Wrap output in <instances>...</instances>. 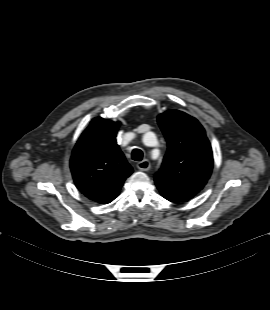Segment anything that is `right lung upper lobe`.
Masks as SVG:
<instances>
[{"mask_svg": "<svg viewBox=\"0 0 270 310\" xmlns=\"http://www.w3.org/2000/svg\"><path fill=\"white\" fill-rule=\"evenodd\" d=\"M118 122L95 118L77 141L70 160L76 187L89 199L110 203L133 172L116 143Z\"/></svg>", "mask_w": 270, "mask_h": 310, "instance_id": "cb5924a9", "label": "right lung upper lobe"}]
</instances>
